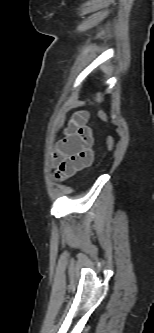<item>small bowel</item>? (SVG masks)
<instances>
[{
  "instance_id": "obj_1",
  "label": "small bowel",
  "mask_w": 154,
  "mask_h": 333,
  "mask_svg": "<svg viewBox=\"0 0 154 333\" xmlns=\"http://www.w3.org/2000/svg\"><path fill=\"white\" fill-rule=\"evenodd\" d=\"M88 115L77 114L71 121L66 136L54 151L53 167L55 178L63 181L89 167L94 161V132L87 125Z\"/></svg>"
}]
</instances>
